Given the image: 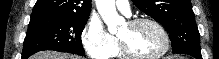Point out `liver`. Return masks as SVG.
I'll use <instances>...</instances> for the list:
<instances>
[{"label":"liver","instance_id":"6515ba94","mask_svg":"<svg viewBox=\"0 0 219 59\" xmlns=\"http://www.w3.org/2000/svg\"><path fill=\"white\" fill-rule=\"evenodd\" d=\"M30 59H81V57L55 51H42L34 54Z\"/></svg>","mask_w":219,"mask_h":59}]
</instances>
